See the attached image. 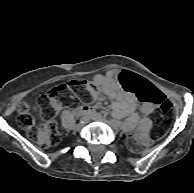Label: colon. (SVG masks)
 I'll list each match as a JSON object with an SVG mask.
<instances>
[{"label":"colon","instance_id":"1","mask_svg":"<svg viewBox=\"0 0 194 193\" xmlns=\"http://www.w3.org/2000/svg\"><path fill=\"white\" fill-rule=\"evenodd\" d=\"M119 82L128 91L133 92L142 103H153L159 106L163 113H169L172 110L171 102L161 93L155 91L153 86L146 79L134 75L129 71H120L118 75ZM89 83L84 80H73L55 87L52 90V96L55 97L56 104L61 105L58 96L61 92L69 89L78 91L84 95L87 94ZM35 108L27 103H21L17 107V123L23 129L29 138L35 140L43 147H52L61 140V133L54 122H39L33 115ZM128 146L136 151L139 143L136 139L130 138Z\"/></svg>","mask_w":194,"mask_h":193}]
</instances>
